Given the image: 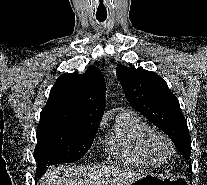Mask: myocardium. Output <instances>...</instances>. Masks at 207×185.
Instances as JSON below:
<instances>
[{"instance_id": "f54148a6", "label": "myocardium", "mask_w": 207, "mask_h": 185, "mask_svg": "<svg viewBox=\"0 0 207 185\" xmlns=\"http://www.w3.org/2000/svg\"><path fill=\"white\" fill-rule=\"evenodd\" d=\"M164 142L169 147V153L164 154L159 144ZM148 145L153 154L162 161L170 160L175 154V144L168 135L161 131H152L148 136Z\"/></svg>"}]
</instances>
